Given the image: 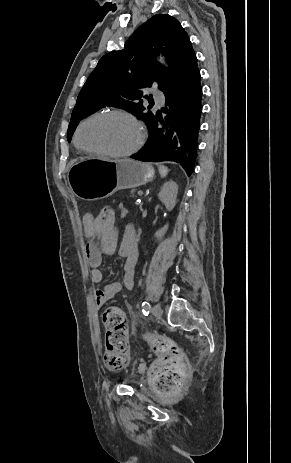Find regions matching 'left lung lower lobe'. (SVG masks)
Returning a JSON list of instances; mask_svg holds the SVG:
<instances>
[{
  "label": "left lung lower lobe",
  "instance_id": "0a47b994",
  "mask_svg": "<svg viewBox=\"0 0 291 463\" xmlns=\"http://www.w3.org/2000/svg\"><path fill=\"white\" fill-rule=\"evenodd\" d=\"M200 71L195 68L165 93L166 116L149 122L145 147L132 155L146 162L174 161L190 176L194 169L202 113Z\"/></svg>",
  "mask_w": 291,
  "mask_h": 463
}]
</instances>
